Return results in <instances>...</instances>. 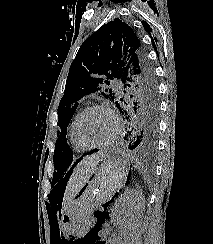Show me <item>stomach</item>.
Segmentation results:
<instances>
[{
  "label": "stomach",
  "mask_w": 213,
  "mask_h": 244,
  "mask_svg": "<svg viewBox=\"0 0 213 244\" xmlns=\"http://www.w3.org/2000/svg\"><path fill=\"white\" fill-rule=\"evenodd\" d=\"M99 165L88 182L78 191L60 221V229L65 234H75L88 229L92 209L109 201L119 191L127 178L123 159L111 154H123V149H104Z\"/></svg>",
  "instance_id": "0dacf381"
}]
</instances>
